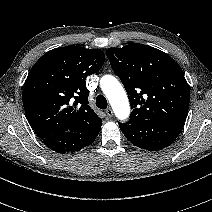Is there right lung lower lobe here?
Instances as JSON below:
<instances>
[{
    "mask_svg": "<svg viewBox=\"0 0 212 212\" xmlns=\"http://www.w3.org/2000/svg\"><path fill=\"white\" fill-rule=\"evenodd\" d=\"M99 130L94 132H63L42 138L43 143L57 153H73L92 144Z\"/></svg>",
    "mask_w": 212,
    "mask_h": 212,
    "instance_id": "1",
    "label": "right lung lower lobe"
}]
</instances>
